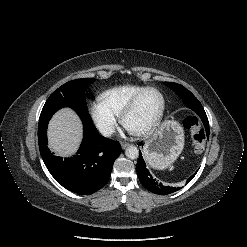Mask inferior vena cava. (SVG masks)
<instances>
[{"label": "inferior vena cava", "mask_w": 247, "mask_h": 247, "mask_svg": "<svg viewBox=\"0 0 247 247\" xmlns=\"http://www.w3.org/2000/svg\"><path fill=\"white\" fill-rule=\"evenodd\" d=\"M114 130V127L109 125H104L99 128L100 133L105 137L111 136L114 133Z\"/></svg>", "instance_id": "1"}]
</instances>
